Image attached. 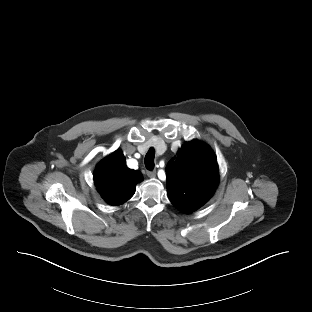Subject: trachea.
<instances>
[{"instance_id":"obj_1","label":"trachea","mask_w":312,"mask_h":312,"mask_svg":"<svg viewBox=\"0 0 312 312\" xmlns=\"http://www.w3.org/2000/svg\"><path fill=\"white\" fill-rule=\"evenodd\" d=\"M145 166L148 170H153L154 168V150L151 148L145 156Z\"/></svg>"}]
</instances>
